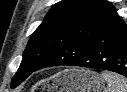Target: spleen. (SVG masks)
Segmentation results:
<instances>
[{
    "mask_svg": "<svg viewBox=\"0 0 127 92\" xmlns=\"http://www.w3.org/2000/svg\"><path fill=\"white\" fill-rule=\"evenodd\" d=\"M101 79L107 83L103 92H127V79L112 72H102Z\"/></svg>",
    "mask_w": 127,
    "mask_h": 92,
    "instance_id": "spleen-1",
    "label": "spleen"
}]
</instances>
